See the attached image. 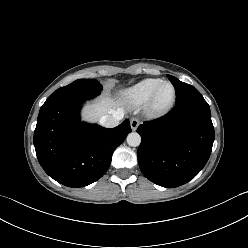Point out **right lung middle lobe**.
<instances>
[{
    "mask_svg": "<svg viewBox=\"0 0 248 248\" xmlns=\"http://www.w3.org/2000/svg\"><path fill=\"white\" fill-rule=\"evenodd\" d=\"M65 90H79V91H87V92L91 91L98 94L102 90V86L97 80L79 79L70 83L65 87L57 89L55 92L65 91Z\"/></svg>",
    "mask_w": 248,
    "mask_h": 248,
    "instance_id": "right-lung-middle-lobe-1",
    "label": "right lung middle lobe"
}]
</instances>
